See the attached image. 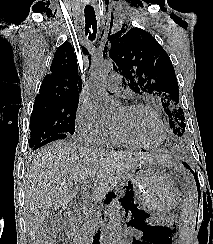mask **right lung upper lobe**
Returning a JSON list of instances; mask_svg holds the SVG:
<instances>
[{
	"label": "right lung upper lobe",
	"mask_w": 213,
	"mask_h": 244,
	"mask_svg": "<svg viewBox=\"0 0 213 244\" xmlns=\"http://www.w3.org/2000/svg\"><path fill=\"white\" fill-rule=\"evenodd\" d=\"M40 86L37 99H78L82 81L78 74L76 55L72 45L63 43L54 54L50 67ZM79 100V99H78Z\"/></svg>",
	"instance_id": "right-lung-upper-lobe-1"
}]
</instances>
